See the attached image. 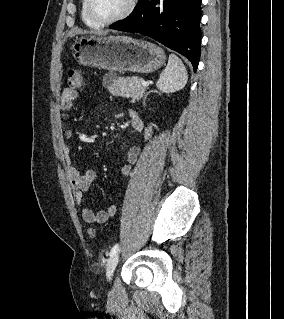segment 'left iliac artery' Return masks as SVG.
Segmentation results:
<instances>
[{
	"instance_id": "44dca946",
	"label": "left iliac artery",
	"mask_w": 284,
	"mask_h": 319,
	"mask_svg": "<svg viewBox=\"0 0 284 319\" xmlns=\"http://www.w3.org/2000/svg\"><path fill=\"white\" fill-rule=\"evenodd\" d=\"M118 249H119V245L118 244L114 245L110 251V256H113L115 253H117Z\"/></svg>"
}]
</instances>
